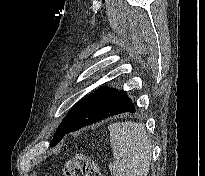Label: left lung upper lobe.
Listing matches in <instances>:
<instances>
[{
  "label": "left lung upper lobe",
  "mask_w": 205,
  "mask_h": 176,
  "mask_svg": "<svg viewBox=\"0 0 205 176\" xmlns=\"http://www.w3.org/2000/svg\"><path fill=\"white\" fill-rule=\"evenodd\" d=\"M84 98H82L79 102H77L72 107V109L69 111L67 116L62 120V122L60 123L59 127L57 128V131H56V133H55V135L53 137V140L50 143L51 146H55L63 138L66 130L68 129L69 125L72 122V119L74 118V116L76 114V111H77V108H78L79 104L81 103V101Z\"/></svg>",
  "instance_id": "obj_1"
}]
</instances>
